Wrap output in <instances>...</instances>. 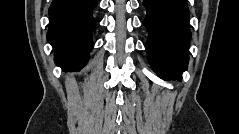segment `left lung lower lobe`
I'll return each mask as SVG.
<instances>
[{"label": "left lung lower lobe", "instance_id": "0a47b994", "mask_svg": "<svg viewBox=\"0 0 239 134\" xmlns=\"http://www.w3.org/2000/svg\"><path fill=\"white\" fill-rule=\"evenodd\" d=\"M143 24L149 35L146 50L151 67L163 79L181 80L189 60V9L186 0H144Z\"/></svg>", "mask_w": 239, "mask_h": 134}]
</instances>
